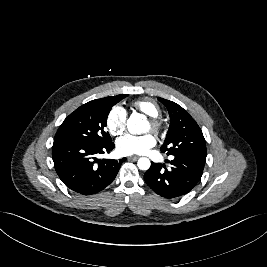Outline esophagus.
Returning a JSON list of instances; mask_svg holds the SVG:
<instances>
[{"mask_svg":"<svg viewBox=\"0 0 267 267\" xmlns=\"http://www.w3.org/2000/svg\"><path fill=\"white\" fill-rule=\"evenodd\" d=\"M139 158V156H129L128 159L132 161H136Z\"/></svg>","mask_w":267,"mask_h":267,"instance_id":"34e87169","label":"esophagus"}]
</instances>
